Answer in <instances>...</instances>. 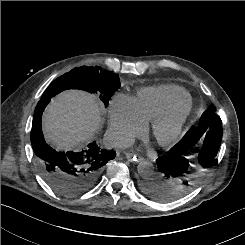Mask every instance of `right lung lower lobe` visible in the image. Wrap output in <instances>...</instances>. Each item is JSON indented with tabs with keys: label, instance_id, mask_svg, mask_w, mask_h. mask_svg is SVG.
Returning <instances> with one entry per match:
<instances>
[{
	"label": "right lung lower lobe",
	"instance_id": "98d812e1",
	"mask_svg": "<svg viewBox=\"0 0 245 245\" xmlns=\"http://www.w3.org/2000/svg\"><path fill=\"white\" fill-rule=\"evenodd\" d=\"M51 98L41 99L35 109L31 143L38 170L46 183L64 197H75L91 189L97 182L102 167L115 158V151H107L96 142L87 150L58 152L46 144L41 128V117Z\"/></svg>",
	"mask_w": 245,
	"mask_h": 245
}]
</instances>
